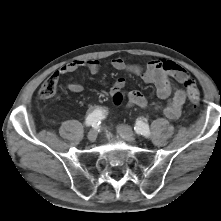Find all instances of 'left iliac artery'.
Instances as JSON below:
<instances>
[{"mask_svg":"<svg viewBox=\"0 0 221 221\" xmlns=\"http://www.w3.org/2000/svg\"><path fill=\"white\" fill-rule=\"evenodd\" d=\"M134 130L137 134H141L148 138L150 136V130L148 124H145L141 120H138L135 124Z\"/></svg>","mask_w":221,"mask_h":221,"instance_id":"left-iliac-artery-1","label":"left iliac artery"}]
</instances>
